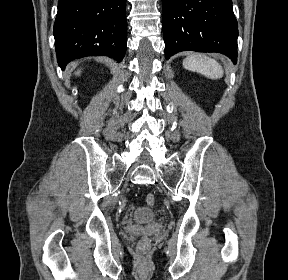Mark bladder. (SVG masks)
I'll use <instances>...</instances> for the list:
<instances>
[{"instance_id": "31cf9c89", "label": "bladder", "mask_w": 288, "mask_h": 280, "mask_svg": "<svg viewBox=\"0 0 288 280\" xmlns=\"http://www.w3.org/2000/svg\"><path fill=\"white\" fill-rule=\"evenodd\" d=\"M155 218V212L148 207H137L132 213V219L139 223H147Z\"/></svg>"}]
</instances>
